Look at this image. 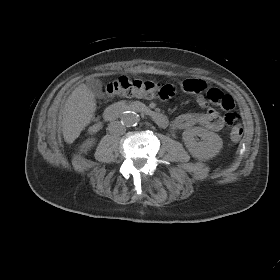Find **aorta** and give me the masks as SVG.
<instances>
[{"label":"aorta","mask_w":280,"mask_h":280,"mask_svg":"<svg viewBox=\"0 0 280 280\" xmlns=\"http://www.w3.org/2000/svg\"><path fill=\"white\" fill-rule=\"evenodd\" d=\"M138 121H139L138 115L132 111L124 112L121 116V123L127 127L136 125Z\"/></svg>","instance_id":"aorta-1"}]
</instances>
